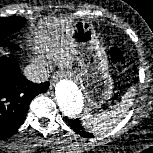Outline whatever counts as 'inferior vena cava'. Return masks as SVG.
Instances as JSON below:
<instances>
[{"mask_svg":"<svg viewBox=\"0 0 153 153\" xmlns=\"http://www.w3.org/2000/svg\"><path fill=\"white\" fill-rule=\"evenodd\" d=\"M24 75L26 78L35 83H41L48 80L49 73L43 66L29 64L25 67Z\"/></svg>","mask_w":153,"mask_h":153,"instance_id":"inferior-vena-cava-1","label":"inferior vena cava"}]
</instances>
